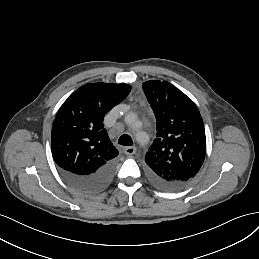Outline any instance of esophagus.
I'll return each mask as SVG.
<instances>
[{"instance_id": "34e87169", "label": "esophagus", "mask_w": 259, "mask_h": 259, "mask_svg": "<svg viewBox=\"0 0 259 259\" xmlns=\"http://www.w3.org/2000/svg\"><path fill=\"white\" fill-rule=\"evenodd\" d=\"M137 152V148L135 146H129L124 148V153L126 155H133Z\"/></svg>"}]
</instances>
